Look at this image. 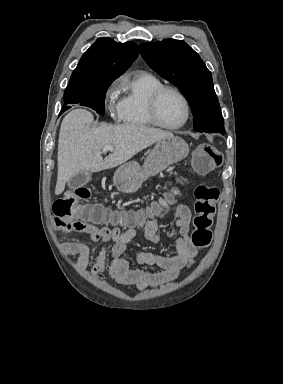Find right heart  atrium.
Returning <instances> with one entry per match:
<instances>
[{
  "instance_id": "d8ad5b80",
  "label": "right heart atrium",
  "mask_w": 283,
  "mask_h": 384,
  "mask_svg": "<svg viewBox=\"0 0 283 384\" xmlns=\"http://www.w3.org/2000/svg\"><path fill=\"white\" fill-rule=\"evenodd\" d=\"M121 80L119 78L112 80L104 90V104L106 111L113 120L120 119V101Z\"/></svg>"
}]
</instances>
